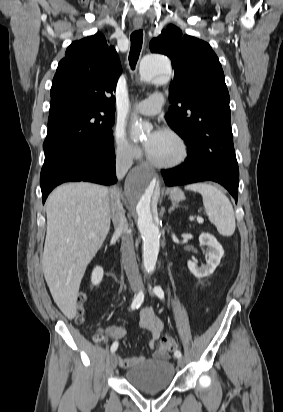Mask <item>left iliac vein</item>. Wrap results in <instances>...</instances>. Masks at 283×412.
<instances>
[{
  "instance_id": "1",
  "label": "left iliac vein",
  "mask_w": 283,
  "mask_h": 412,
  "mask_svg": "<svg viewBox=\"0 0 283 412\" xmlns=\"http://www.w3.org/2000/svg\"><path fill=\"white\" fill-rule=\"evenodd\" d=\"M177 363H178V366H180V367L184 366V360L182 358H179Z\"/></svg>"
}]
</instances>
